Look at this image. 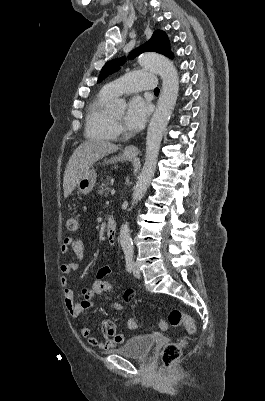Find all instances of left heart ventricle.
Instances as JSON below:
<instances>
[{
  "instance_id": "obj_1",
  "label": "left heart ventricle",
  "mask_w": 265,
  "mask_h": 401,
  "mask_svg": "<svg viewBox=\"0 0 265 401\" xmlns=\"http://www.w3.org/2000/svg\"><path fill=\"white\" fill-rule=\"evenodd\" d=\"M123 114H124V111H120V112L114 114L112 117H113V119H114L116 122L122 123V121H123Z\"/></svg>"
}]
</instances>
